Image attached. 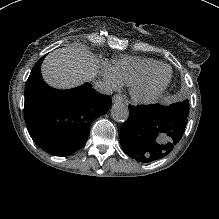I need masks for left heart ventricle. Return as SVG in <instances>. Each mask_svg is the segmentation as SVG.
Returning <instances> with one entry per match:
<instances>
[{"instance_id": "obj_1", "label": "left heart ventricle", "mask_w": 219, "mask_h": 219, "mask_svg": "<svg viewBox=\"0 0 219 219\" xmlns=\"http://www.w3.org/2000/svg\"><path fill=\"white\" fill-rule=\"evenodd\" d=\"M167 73L165 71H160L152 78V86H160L166 79Z\"/></svg>"}]
</instances>
